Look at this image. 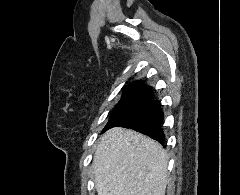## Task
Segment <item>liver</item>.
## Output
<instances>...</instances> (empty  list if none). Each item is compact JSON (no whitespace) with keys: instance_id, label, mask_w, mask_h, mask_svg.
Here are the masks:
<instances>
[{"instance_id":"1","label":"liver","mask_w":240,"mask_h":195,"mask_svg":"<svg viewBox=\"0 0 240 195\" xmlns=\"http://www.w3.org/2000/svg\"><path fill=\"white\" fill-rule=\"evenodd\" d=\"M167 151L134 129L112 127L99 137L93 169L98 195H165Z\"/></svg>"}]
</instances>
